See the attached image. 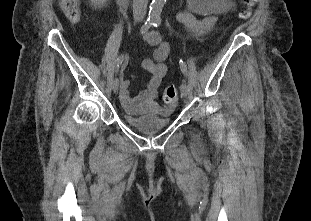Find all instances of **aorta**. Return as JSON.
<instances>
[{
    "label": "aorta",
    "instance_id": "1",
    "mask_svg": "<svg viewBox=\"0 0 311 221\" xmlns=\"http://www.w3.org/2000/svg\"><path fill=\"white\" fill-rule=\"evenodd\" d=\"M164 0H153L150 4L149 18L150 20H159Z\"/></svg>",
    "mask_w": 311,
    "mask_h": 221
}]
</instances>
